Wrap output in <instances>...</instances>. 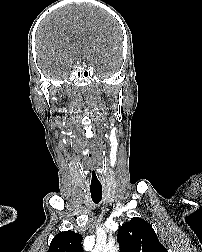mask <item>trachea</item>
<instances>
[{
	"instance_id": "obj_1",
	"label": "trachea",
	"mask_w": 202,
	"mask_h": 252,
	"mask_svg": "<svg viewBox=\"0 0 202 252\" xmlns=\"http://www.w3.org/2000/svg\"><path fill=\"white\" fill-rule=\"evenodd\" d=\"M91 197L94 203L98 204L102 199V188L90 187Z\"/></svg>"
}]
</instances>
